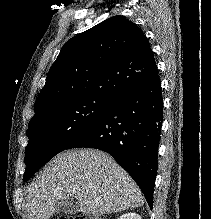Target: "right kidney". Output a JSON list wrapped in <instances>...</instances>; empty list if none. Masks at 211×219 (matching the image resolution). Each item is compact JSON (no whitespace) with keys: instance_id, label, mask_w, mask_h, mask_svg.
Here are the masks:
<instances>
[{"instance_id":"obj_1","label":"right kidney","mask_w":211,"mask_h":219,"mask_svg":"<svg viewBox=\"0 0 211 219\" xmlns=\"http://www.w3.org/2000/svg\"><path fill=\"white\" fill-rule=\"evenodd\" d=\"M118 219H141V216L134 212H130V213L123 214Z\"/></svg>"}]
</instances>
